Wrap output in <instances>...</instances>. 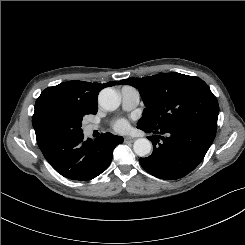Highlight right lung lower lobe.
Returning <instances> with one entry per match:
<instances>
[{"label":"right lung lower lobe","mask_w":245,"mask_h":245,"mask_svg":"<svg viewBox=\"0 0 245 245\" xmlns=\"http://www.w3.org/2000/svg\"><path fill=\"white\" fill-rule=\"evenodd\" d=\"M123 138L111 133L98 138L84 139V135H69L53 140L44 157L62 176L71 180H91L104 172L112 161V152Z\"/></svg>","instance_id":"98d812e1"}]
</instances>
